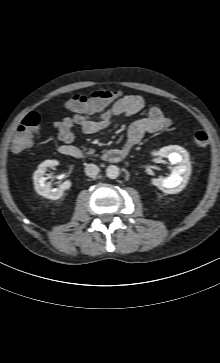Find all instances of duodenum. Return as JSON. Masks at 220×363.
<instances>
[{"label":"duodenum","mask_w":220,"mask_h":363,"mask_svg":"<svg viewBox=\"0 0 220 363\" xmlns=\"http://www.w3.org/2000/svg\"><path fill=\"white\" fill-rule=\"evenodd\" d=\"M59 152L61 155L74 158V159H85L86 153L75 146L72 145H62L59 148ZM128 154V149L126 147L120 148V149H110L107 150L103 158L108 163H118L126 158Z\"/></svg>","instance_id":"410a0bca"}]
</instances>
